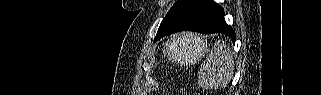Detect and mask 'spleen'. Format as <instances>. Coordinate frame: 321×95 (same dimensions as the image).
Wrapping results in <instances>:
<instances>
[{"mask_svg":"<svg viewBox=\"0 0 321 95\" xmlns=\"http://www.w3.org/2000/svg\"><path fill=\"white\" fill-rule=\"evenodd\" d=\"M233 73L232 51L224 41H218L200 67L198 84L204 88H224L231 81Z\"/></svg>","mask_w":321,"mask_h":95,"instance_id":"1","label":"spleen"}]
</instances>
